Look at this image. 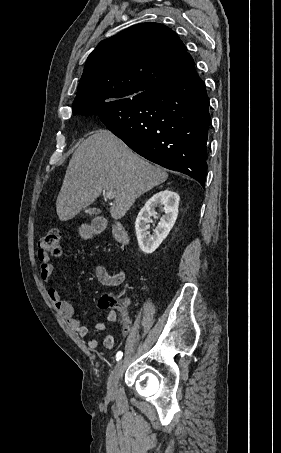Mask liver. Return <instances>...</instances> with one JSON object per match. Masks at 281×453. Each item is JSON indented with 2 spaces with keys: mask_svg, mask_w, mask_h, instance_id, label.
Segmentation results:
<instances>
[{
  "mask_svg": "<svg viewBox=\"0 0 281 453\" xmlns=\"http://www.w3.org/2000/svg\"><path fill=\"white\" fill-rule=\"evenodd\" d=\"M167 178L164 168L150 164L110 130L98 128L72 154L57 196V214L60 220H69L102 190H112L111 216L122 218L136 198Z\"/></svg>",
  "mask_w": 281,
  "mask_h": 453,
  "instance_id": "6515ba94",
  "label": "liver"
}]
</instances>
